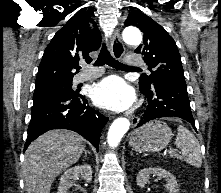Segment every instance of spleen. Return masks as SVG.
Returning <instances> with one entry per match:
<instances>
[{
  "label": "spleen",
  "mask_w": 221,
  "mask_h": 193,
  "mask_svg": "<svg viewBox=\"0 0 221 193\" xmlns=\"http://www.w3.org/2000/svg\"><path fill=\"white\" fill-rule=\"evenodd\" d=\"M177 131L175 144L181 150V155L173 152L172 156L184 159V161L197 168L201 167L202 156L197 138L184 126H178Z\"/></svg>",
  "instance_id": "1"
}]
</instances>
